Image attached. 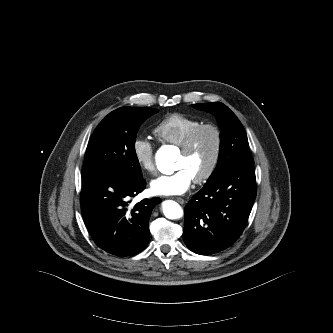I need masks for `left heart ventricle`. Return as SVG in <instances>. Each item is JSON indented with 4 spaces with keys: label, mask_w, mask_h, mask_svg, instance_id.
Listing matches in <instances>:
<instances>
[{
    "label": "left heart ventricle",
    "mask_w": 333,
    "mask_h": 333,
    "mask_svg": "<svg viewBox=\"0 0 333 333\" xmlns=\"http://www.w3.org/2000/svg\"><path fill=\"white\" fill-rule=\"evenodd\" d=\"M214 143L215 138L212 131H203L197 138L195 146L189 154L180 152L176 169H186L193 179L202 174L211 160Z\"/></svg>",
    "instance_id": "obj_1"
}]
</instances>
